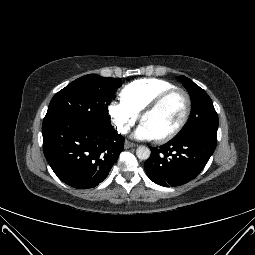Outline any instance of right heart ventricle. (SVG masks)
Wrapping results in <instances>:
<instances>
[{
	"mask_svg": "<svg viewBox=\"0 0 255 255\" xmlns=\"http://www.w3.org/2000/svg\"><path fill=\"white\" fill-rule=\"evenodd\" d=\"M174 87V84L162 79H140L126 85L121 91V97L136 113L140 114L159 94Z\"/></svg>",
	"mask_w": 255,
	"mask_h": 255,
	"instance_id": "e07e8e85",
	"label": "right heart ventricle"
}]
</instances>
